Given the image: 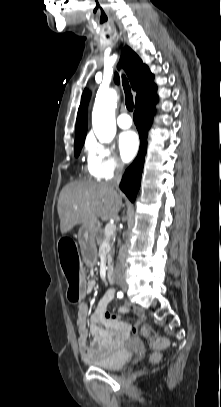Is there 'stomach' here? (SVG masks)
Instances as JSON below:
<instances>
[{
  "label": "stomach",
  "instance_id": "obj_1",
  "mask_svg": "<svg viewBox=\"0 0 221 407\" xmlns=\"http://www.w3.org/2000/svg\"><path fill=\"white\" fill-rule=\"evenodd\" d=\"M84 227H85V228H88V229H93V228H95V226H94L93 224H84Z\"/></svg>",
  "mask_w": 221,
  "mask_h": 407
}]
</instances>
